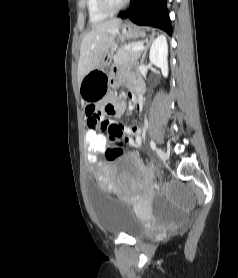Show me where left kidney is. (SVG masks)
Masks as SVG:
<instances>
[{
  "label": "left kidney",
  "instance_id": "obj_1",
  "mask_svg": "<svg viewBox=\"0 0 238 278\" xmlns=\"http://www.w3.org/2000/svg\"><path fill=\"white\" fill-rule=\"evenodd\" d=\"M149 59L161 69L164 77L168 76V45L164 35L158 36L152 43Z\"/></svg>",
  "mask_w": 238,
  "mask_h": 278
}]
</instances>
